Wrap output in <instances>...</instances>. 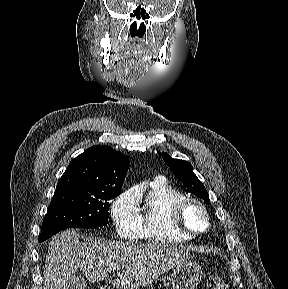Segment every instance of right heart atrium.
<instances>
[{
    "instance_id": "d8ad5b80",
    "label": "right heart atrium",
    "mask_w": 288,
    "mask_h": 289,
    "mask_svg": "<svg viewBox=\"0 0 288 289\" xmlns=\"http://www.w3.org/2000/svg\"><path fill=\"white\" fill-rule=\"evenodd\" d=\"M111 217L117 234L125 239H135L139 236L140 219L134 195L125 191L112 203Z\"/></svg>"
}]
</instances>
